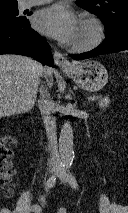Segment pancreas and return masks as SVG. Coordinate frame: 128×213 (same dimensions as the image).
<instances>
[{
  "instance_id": "1",
  "label": "pancreas",
  "mask_w": 128,
  "mask_h": 213,
  "mask_svg": "<svg viewBox=\"0 0 128 213\" xmlns=\"http://www.w3.org/2000/svg\"><path fill=\"white\" fill-rule=\"evenodd\" d=\"M93 100H98V104L101 108H106L110 104V99L108 97H97L93 98Z\"/></svg>"
}]
</instances>
